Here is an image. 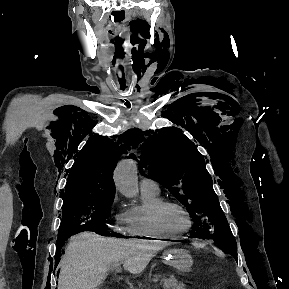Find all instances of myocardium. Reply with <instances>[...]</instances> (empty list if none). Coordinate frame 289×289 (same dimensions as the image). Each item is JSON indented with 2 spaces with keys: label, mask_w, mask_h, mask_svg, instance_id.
Segmentation results:
<instances>
[{
  "label": "myocardium",
  "mask_w": 289,
  "mask_h": 289,
  "mask_svg": "<svg viewBox=\"0 0 289 289\" xmlns=\"http://www.w3.org/2000/svg\"><path fill=\"white\" fill-rule=\"evenodd\" d=\"M169 207L178 208L184 213V215L187 217V220H188V226L186 227V229H184L181 232H172L165 227L163 220H162V215H163V212ZM152 220L155 226L169 237H178V236L185 235L191 230V227L193 224L192 217L188 209L182 203L175 201V200L163 199L161 202H159L152 210Z\"/></svg>",
  "instance_id": "obj_1"
}]
</instances>
